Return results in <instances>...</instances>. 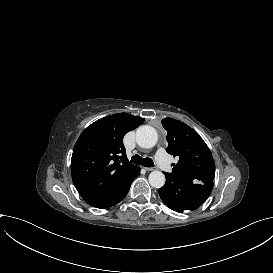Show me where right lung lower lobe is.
<instances>
[{
    "label": "right lung lower lobe",
    "instance_id": "right-lung-lower-lobe-1",
    "mask_svg": "<svg viewBox=\"0 0 273 273\" xmlns=\"http://www.w3.org/2000/svg\"><path fill=\"white\" fill-rule=\"evenodd\" d=\"M139 172H140V170L138 171V173H137V175L135 176V178L139 175ZM133 180H134V179H133ZM133 180H132V181H133ZM132 181H131L130 183H128V184L124 187L123 191L120 193L119 197L117 198V200L115 201V203H114L113 205L119 203V202L127 195L128 191H129V188H130V186H131ZM113 205H112V206H113ZM109 207H110V206H109ZM107 208H108V207H107Z\"/></svg>",
    "mask_w": 273,
    "mask_h": 273
}]
</instances>
